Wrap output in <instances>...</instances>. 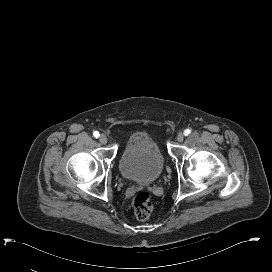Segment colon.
<instances>
[{
  "label": "colon",
  "instance_id": "obj_1",
  "mask_svg": "<svg viewBox=\"0 0 272 272\" xmlns=\"http://www.w3.org/2000/svg\"><path fill=\"white\" fill-rule=\"evenodd\" d=\"M132 207L136 217L140 220L149 218L153 210L152 196L147 191H141L135 195Z\"/></svg>",
  "mask_w": 272,
  "mask_h": 272
}]
</instances>
